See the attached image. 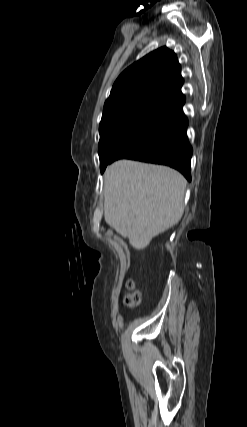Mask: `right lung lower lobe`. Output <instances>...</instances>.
<instances>
[{"label":"right lung lower lobe","mask_w":247,"mask_h":427,"mask_svg":"<svg viewBox=\"0 0 247 427\" xmlns=\"http://www.w3.org/2000/svg\"><path fill=\"white\" fill-rule=\"evenodd\" d=\"M184 104L185 97L180 94L153 110L120 143L107 165L120 158L164 164L190 181L192 147L186 135Z\"/></svg>","instance_id":"obj_1"}]
</instances>
